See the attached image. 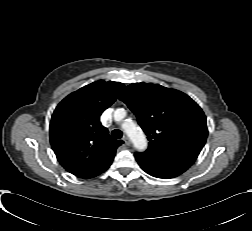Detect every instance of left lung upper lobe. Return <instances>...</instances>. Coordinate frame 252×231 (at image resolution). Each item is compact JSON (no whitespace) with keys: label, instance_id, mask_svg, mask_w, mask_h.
Here are the masks:
<instances>
[{"label":"left lung upper lobe","instance_id":"left-lung-upper-lobe-1","mask_svg":"<svg viewBox=\"0 0 252 231\" xmlns=\"http://www.w3.org/2000/svg\"><path fill=\"white\" fill-rule=\"evenodd\" d=\"M149 140L146 153L197 158L208 135L206 117L188 95L158 84L133 83L120 93Z\"/></svg>","mask_w":252,"mask_h":231}]
</instances>
